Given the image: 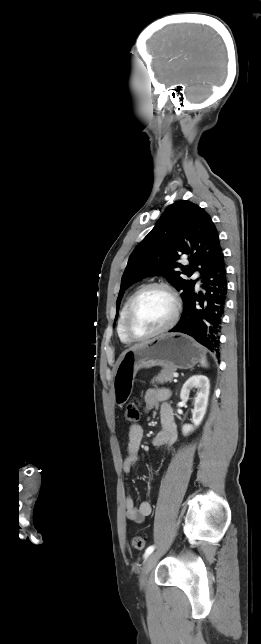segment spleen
Segmentation results:
<instances>
[{"label": "spleen", "instance_id": "spleen-1", "mask_svg": "<svg viewBox=\"0 0 261 644\" xmlns=\"http://www.w3.org/2000/svg\"><path fill=\"white\" fill-rule=\"evenodd\" d=\"M200 363H201V366H202V367H207V366H208V364H207V361H206L205 357L200 361Z\"/></svg>", "mask_w": 261, "mask_h": 644}]
</instances>
